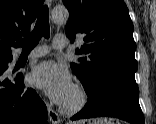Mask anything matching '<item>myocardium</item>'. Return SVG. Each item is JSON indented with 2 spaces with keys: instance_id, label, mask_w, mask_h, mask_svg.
<instances>
[{
  "instance_id": "obj_1",
  "label": "myocardium",
  "mask_w": 156,
  "mask_h": 124,
  "mask_svg": "<svg viewBox=\"0 0 156 124\" xmlns=\"http://www.w3.org/2000/svg\"><path fill=\"white\" fill-rule=\"evenodd\" d=\"M73 87L78 93V102L73 106H66L63 104L59 106L60 111L68 116H74L82 112L84 109H86L90 101V95L87 89L82 84L75 83Z\"/></svg>"
}]
</instances>
